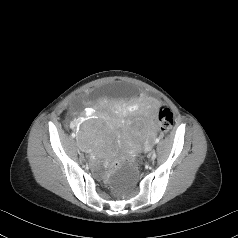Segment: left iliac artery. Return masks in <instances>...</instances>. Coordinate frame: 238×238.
<instances>
[{
  "instance_id": "obj_1",
  "label": "left iliac artery",
  "mask_w": 238,
  "mask_h": 238,
  "mask_svg": "<svg viewBox=\"0 0 238 238\" xmlns=\"http://www.w3.org/2000/svg\"><path fill=\"white\" fill-rule=\"evenodd\" d=\"M160 141V138H156L155 143H158Z\"/></svg>"
}]
</instances>
